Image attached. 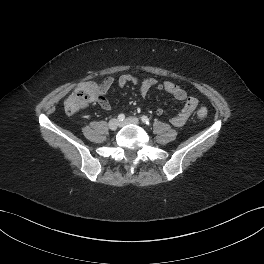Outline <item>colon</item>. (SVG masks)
I'll use <instances>...</instances> for the list:
<instances>
[{
  "mask_svg": "<svg viewBox=\"0 0 264 264\" xmlns=\"http://www.w3.org/2000/svg\"><path fill=\"white\" fill-rule=\"evenodd\" d=\"M99 92V86L95 82H83L78 85L65 102V111L68 114H74L81 108L96 101ZM207 109L200 108L198 116L205 118Z\"/></svg>",
  "mask_w": 264,
  "mask_h": 264,
  "instance_id": "5ec220e1",
  "label": "colon"
}]
</instances>
